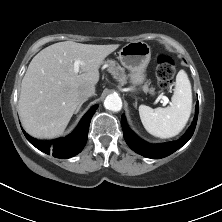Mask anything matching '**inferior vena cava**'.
<instances>
[{"instance_id": "inferior-vena-cava-1", "label": "inferior vena cava", "mask_w": 222, "mask_h": 222, "mask_svg": "<svg viewBox=\"0 0 222 222\" xmlns=\"http://www.w3.org/2000/svg\"><path fill=\"white\" fill-rule=\"evenodd\" d=\"M94 94H95V86L92 84L82 86L79 89V96L82 100L87 99L93 96Z\"/></svg>"}]
</instances>
